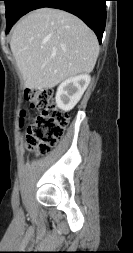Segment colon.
<instances>
[{
  "instance_id": "obj_1",
  "label": "colon",
  "mask_w": 133,
  "mask_h": 253,
  "mask_svg": "<svg viewBox=\"0 0 133 253\" xmlns=\"http://www.w3.org/2000/svg\"><path fill=\"white\" fill-rule=\"evenodd\" d=\"M24 99L38 111L28 126L27 143L40 154H47L62 138L69 117L57 108L50 90L27 89Z\"/></svg>"
}]
</instances>
